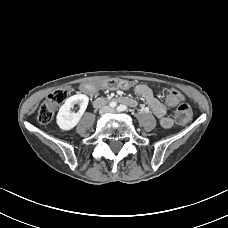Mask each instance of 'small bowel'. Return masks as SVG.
Listing matches in <instances>:
<instances>
[{
    "label": "small bowel",
    "mask_w": 228,
    "mask_h": 228,
    "mask_svg": "<svg viewBox=\"0 0 228 228\" xmlns=\"http://www.w3.org/2000/svg\"><path fill=\"white\" fill-rule=\"evenodd\" d=\"M99 86L104 89H128L131 87V85L126 81L114 79L104 81ZM93 88L94 87L91 86H84L83 90L92 91ZM132 89L136 95L141 96L146 101L154 115L158 118L159 123L162 127H172L173 121L168 116V107L156 98L154 92L150 87L144 84H137L133 86Z\"/></svg>",
    "instance_id": "c3829d8e"
}]
</instances>
